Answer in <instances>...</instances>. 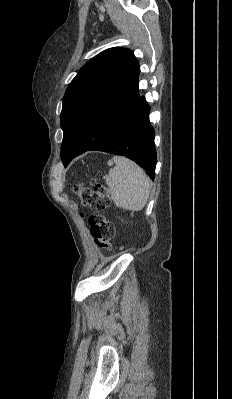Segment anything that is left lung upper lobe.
I'll use <instances>...</instances> for the list:
<instances>
[{
  "instance_id": "5c2ea615",
  "label": "left lung upper lobe",
  "mask_w": 232,
  "mask_h": 399,
  "mask_svg": "<svg viewBox=\"0 0 232 399\" xmlns=\"http://www.w3.org/2000/svg\"><path fill=\"white\" fill-rule=\"evenodd\" d=\"M140 68L130 49L109 48L88 61L67 87L60 114L65 166L90 150L138 96Z\"/></svg>"
}]
</instances>
